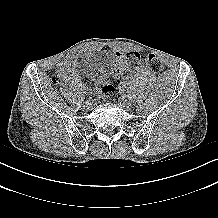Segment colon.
Here are the masks:
<instances>
[{
  "instance_id": "colon-1",
  "label": "colon",
  "mask_w": 218,
  "mask_h": 218,
  "mask_svg": "<svg viewBox=\"0 0 218 218\" xmlns=\"http://www.w3.org/2000/svg\"><path fill=\"white\" fill-rule=\"evenodd\" d=\"M142 62L146 67L154 72L160 73L163 69L161 60L154 54H148L144 59L137 52H130L126 56L124 63L116 68L112 69L111 76L114 78H119L124 75L130 68L139 66ZM59 74L53 75V82L59 81ZM114 87L111 84H102L96 88L97 98L100 100L106 99L114 93Z\"/></svg>"
}]
</instances>
